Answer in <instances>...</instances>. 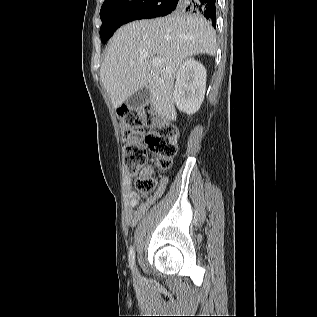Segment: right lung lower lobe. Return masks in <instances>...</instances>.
Listing matches in <instances>:
<instances>
[{
	"label": "right lung lower lobe",
	"mask_w": 317,
	"mask_h": 317,
	"mask_svg": "<svg viewBox=\"0 0 317 317\" xmlns=\"http://www.w3.org/2000/svg\"><path fill=\"white\" fill-rule=\"evenodd\" d=\"M171 5L183 3V10L204 15L216 27V0H172Z\"/></svg>",
	"instance_id": "1"
}]
</instances>
